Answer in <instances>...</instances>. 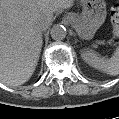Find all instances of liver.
Masks as SVG:
<instances>
[{"instance_id":"liver-1","label":"liver","mask_w":119,"mask_h":119,"mask_svg":"<svg viewBox=\"0 0 119 119\" xmlns=\"http://www.w3.org/2000/svg\"><path fill=\"white\" fill-rule=\"evenodd\" d=\"M73 0H0V82L19 86L38 64L42 35L39 25L50 24Z\"/></svg>"}]
</instances>
